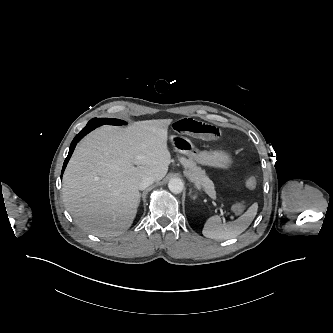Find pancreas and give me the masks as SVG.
Returning <instances> with one entry per match:
<instances>
[{
	"label": "pancreas",
	"mask_w": 333,
	"mask_h": 333,
	"mask_svg": "<svg viewBox=\"0 0 333 333\" xmlns=\"http://www.w3.org/2000/svg\"><path fill=\"white\" fill-rule=\"evenodd\" d=\"M179 161L186 169V176L192 183L195 184V186L203 188L210 197L216 195L214 183L207 176L206 172L201 169V167L186 158H179Z\"/></svg>",
	"instance_id": "1"
}]
</instances>
